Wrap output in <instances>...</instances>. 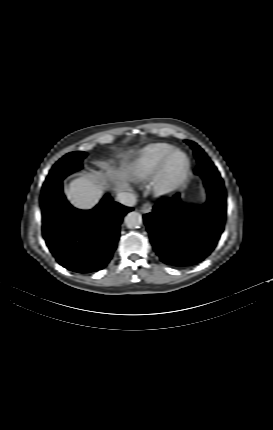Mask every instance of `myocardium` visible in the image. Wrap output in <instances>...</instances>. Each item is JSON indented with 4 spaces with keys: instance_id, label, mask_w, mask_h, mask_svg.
I'll return each mask as SVG.
<instances>
[{
    "instance_id": "obj_1",
    "label": "myocardium",
    "mask_w": 273,
    "mask_h": 430,
    "mask_svg": "<svg viewBox=\"0 0 273 430\" xmlns=\"http://www.w3.org/2000/svg\"><path fill=\"white\" fill-rule=\"evenodd\" d=\"M178 158L182 161L180 168L173 166L174 160ZM190 170V160L185 153L178 149H172L162 160L155 173L153 184L157 194H168L177 188L186 178Z\"/></svg>"
}]
</instances>
